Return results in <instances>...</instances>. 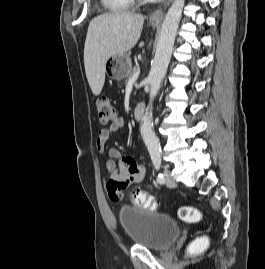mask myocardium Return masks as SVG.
<instances>
[{
    "instance_id": "myocardium-1",
    "label": "myocardium",
    "mask_w": 265,
    "mask_h": 269,
    "mask_svg": "<svg viewBox=\"0 0 265 269\" xmlns=\"http://www.w3.org/2000/svg\"><path fill=\"white\" fill-rule=\"evenodd\" d=\"M138 1H147V0H138Z\"/></svg>"
}]
</instances>
